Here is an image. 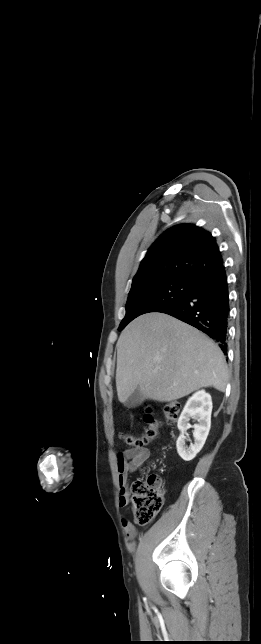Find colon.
Masks as SVG:
<instances>
[{
	"instance_id": "colon-1",
	"label": "colon",
	"mask_w": 261,
	"mask_h": 644,
	"mask_svg": "<svg viewBox=\"0 0 261 644\" xmlns=\"http://www.w3.org/2000/svg\"><path fill=\"white\" fill-rule=\"evenodd\" d=\"M180 408V404L177 401L165 404L163 412L168 423H174L178 419ZM144 421L146 427L141 436L123 434V440L128 446L140 449L158 437L161 426L159 419L152 413L147 412L144 415ZM131 491L135 521L139 524L150 522L163 506L164 490L162 479L155 473L146 474L143 479L133 482Z\"/></svg>"
}]
</instances>
